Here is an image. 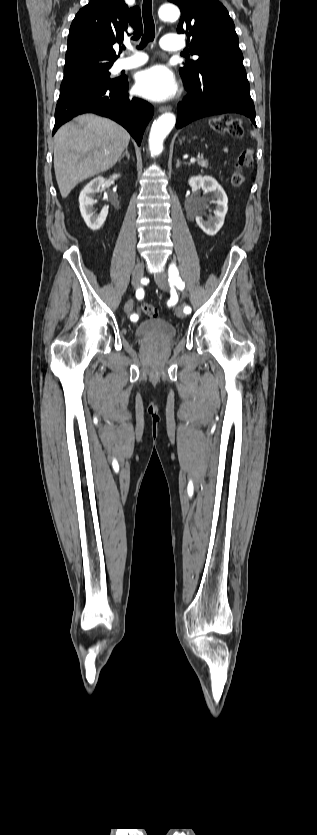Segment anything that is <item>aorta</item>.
I'll list each match as a JSON object with an SVG mask.
<instances>
[{
	"instance_id": "762f6f07",
	"label": "aorta",
	"mask_w": 317,
	"mask_h": 835,
	"mask_svg": "<svg viewBox=\"0 0 317 835\" xmlns=\"http://www.w3.org/2000/svg\"><path fill=\"white\" fill-rule=\"evenodd\" d=\"M160 18L169 21L180 16V10L173 4H165L159 9ZM176 122L173 113L161 115L151 126L149 134V149L152 156H157L163 151V143Z\"/></svg>"
}]
</instances>
